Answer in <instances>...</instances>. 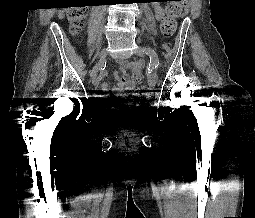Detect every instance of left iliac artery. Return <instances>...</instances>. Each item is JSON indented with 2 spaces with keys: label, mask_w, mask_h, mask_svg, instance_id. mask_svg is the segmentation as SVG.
<instances>
[{
  "label": "left iliac artery",
  "mask_w": 255,
  "mask_h": 218,
  "mask_svg": "<svg viewBox=\"0 0 255 218\" xmlns=\"http://www.w3.org/2000/svg\"><path fill=\"white\" fill-rule=\"evenodd\" d=\"M144 52L150 57V63L155 68L159 67V58L157 53L152 48H144Z\"/></svg>",
  "instance_id": "1"
}]
</instances>
